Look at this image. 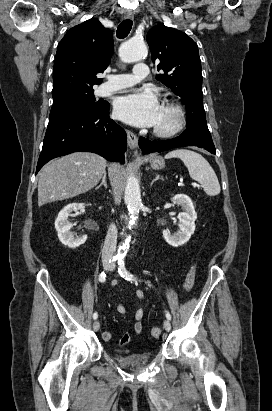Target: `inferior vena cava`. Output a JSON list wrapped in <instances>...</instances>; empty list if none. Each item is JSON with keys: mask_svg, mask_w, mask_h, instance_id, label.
Returning <instances> with one entry per match:
<instances>
[{"mask_svg": "<svg viewBox=\"0 0 272 411\" xmlns=\"http://www.w3.org/2000/svg\"><path fill=\"white\" fill-rule=\"evenodd\" d=\"M117 245V228L115 224H111L109 226L103 249H102V260L104 262H108L109 260L113 259L114 253L116 251Z\"/></svg>", "mask_w": 272, "mask_h": 411, "instance_id": "1", "label": "inferior vena cava"}]
</instances>
